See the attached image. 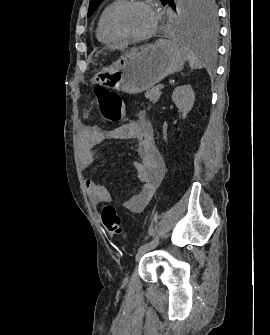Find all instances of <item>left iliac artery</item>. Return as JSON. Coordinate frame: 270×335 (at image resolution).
<instances>
[{"mask_svg":"<svg viewBox=\"0 0 270 335\" xmlns=\"http://www.w3.org/2000/svg\"><path fill=\"white\" fill-rule=\"evenodd\" d=\"M158 243H159V239H158V238H155V239H153L152 241L147 242V243L141 245V246L139 247V250H141V249H151V248L157 246Z\"/></svg>","mask_w":270,"mask_h":335,"instance_id":"44dca946","label":"left iliac artery"}]
</instances>
